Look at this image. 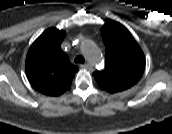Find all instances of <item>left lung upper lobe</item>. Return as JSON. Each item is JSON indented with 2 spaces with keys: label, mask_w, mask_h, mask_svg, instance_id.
Here are the masks:
<instances>
[{
  "label": "left lung upper lobe",
  "mask_w": 172,
  "mask_h": 134,
  "mask_svg": "<svg viewBox=\"0 0 172 134\" xmlns=\"http://www.w3.org/2000/svg\"><path fill=\"white\" fill-rule=\"evenodd\" d=\"M101 33L106 47L105 69L93 73L96 82L109 93L129 89L143 75V51L128 30L118 23L106 24Z\"/></svg>",
  "instance_id": "5c2ea615"
}]
</instances>
